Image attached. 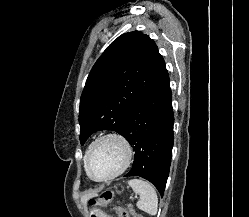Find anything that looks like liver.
I'll return each instance as SVG.
<instances>
[{
	"label": "liver",
	"instance_id": "liver-1",
	"mask_svg": "<svg viewBox=\"0 0 249 217\" xmlns=\"http://www.w3.org/2000/svg\"><path fill=\"white\" fill-rule=\"evenodd\" d=\"M96 194L95 193H88V194H85L82 198H81V201L82 203L85 205L87 200L90 198V197H93L95 196Z\"/></svg>",
	"mask_w": 249,
	"mask_h": 217
}]
</instances>
